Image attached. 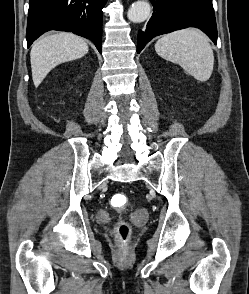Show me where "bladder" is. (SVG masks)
<instances>
[{
  "instance_id": "bladder-1",
  "label": "bladder",
  "mask_w": 249,
  "mask_h": 294,
  "mask_svg": "<svg viewBox=\"0 0 249 294\" xmlns=\"http://www.w3.org/2000/svg\"><path fill=\"white\" fill-rule=\"evenodd\" d=\"M98 219L101 222H107L109 220V217L105 213H99Z\"/></svg>"
}]
</instances>
